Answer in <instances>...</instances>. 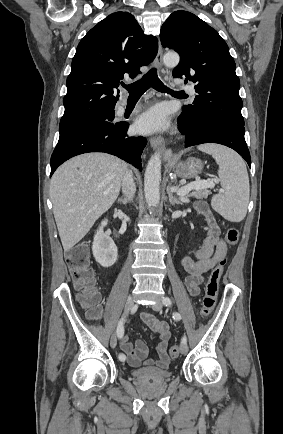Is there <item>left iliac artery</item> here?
<instances>
[{"label": "left iliac artery", "mask_w": 283, "mask_h": 434, "mask_svg": "<svg viewBox=\"0 0 283 434\" xmlns=\"http://www.w3.org/2000/svg\"><path fill=\"white\" fill-rule=\"evenodd\" d=\"M162 303H163L165 306H171V304H172L171 299H170L169 297H164V298L162 299ZM173 318H174L175 320H180V319H181V315H180V313H178V312L173 313ZM182 343H186V337H185V336L182 338Z\"/></svg>", "instance_id": "1"}]
</instances>
